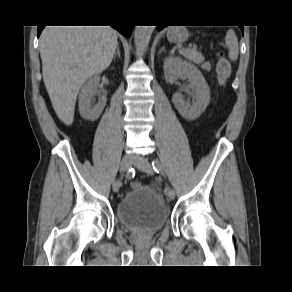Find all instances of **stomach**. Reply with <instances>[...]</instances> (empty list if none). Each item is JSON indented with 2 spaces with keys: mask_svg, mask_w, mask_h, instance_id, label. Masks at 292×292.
<instances>
[{
  "mask_svg": "<svg viewBox=\"0 0 292 292\" xmlns=\"http://www.w3.org/2000/svg\"><path fill=\"white\" fill-rule=\"evenodd\" d=\"M167 38L171 42L181 43L188 39V32L183 27H173L168 29Z\"/></svg>",
  "mask_w": 292,
  "mask_h": 292,
  "instance_id": "0dacf381",
  "label": "stomach"
}]
</instances>
